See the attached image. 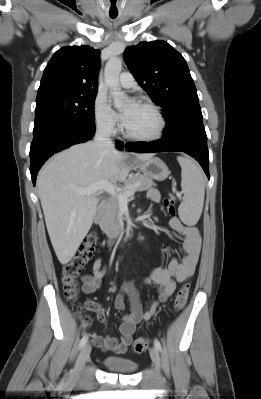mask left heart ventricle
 I'll return each instance as SVG.
<instances>
[{"label":"left heart ventricle","instance_id":"left-heart-ventricle-1","mask_svg":"<svg viewBox=\"0 0 261 399\" xmlns=\"http://www.w3.org/2000/svg\"><path fill=\"white\" fill-rule=\"evenodd\" d=\"M128 109L129 106L125 108V111ZM125 126L129 132L135 135H149L156 131L158 127V119L152 110L138 104V106L131 112Z\"/></svg>","mask_w":261,"mask_h":399}]
</instances>
